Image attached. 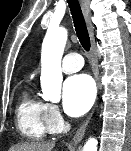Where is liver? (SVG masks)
I'll return each mask as SVG.
<instances>
[{
  "label": "liver",
  "mask_w": 131,
  "mask_h": 151,
  "mask_svg": "<svg viewBox=\"0 0 131 151\" xmlns=\"http://www.w3.org/2000/svg\"><path fill=\"white\" fill-rule=\"evenodd\" d=\"M54 142H27L15 145L10 151H52Z\"/></svg>",
  "instance_id": "1"
}]
</instances>
